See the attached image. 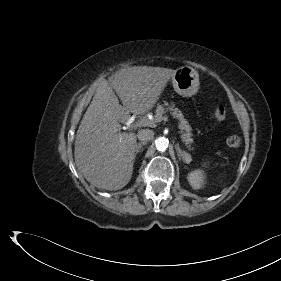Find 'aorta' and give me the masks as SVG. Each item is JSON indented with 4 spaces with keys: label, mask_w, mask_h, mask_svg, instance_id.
Instances as JSON below:
<instances>
[{
    "label": "aorta",
    "mask_w": 281,
    "mask_h": 281,
    "mask_svg": "<svg viewBox=\"0 0 281 281\" xmlns=\"http://www.w3.org/2000/svg\"><path fill=\"white\" fill-rule=\"evenodd\" d=\"M169 141L165 137H159L155 140L156 149L158 151H165L168 148Z\"/></svg>",
    "instance_id": "762f6f07"
}]
</instances>
